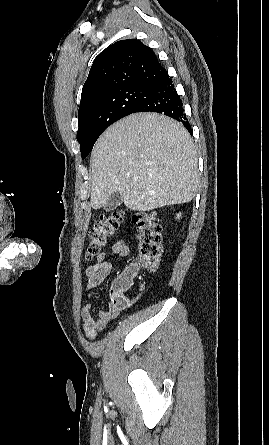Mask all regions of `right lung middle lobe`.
Returning a JSON list of instances; mask_svg holds the SVG:
<instances>
[{
  "label": "right lung middle lobe",
  "instance_id": "1",
  "mask_svg": "<svg viewBox=\"0 0 269 445\" xmlns=\"http://www.w3.org/2000/svg\"><path fill=\"white\" fill-rule=\"evenodd\" d=\"M153 93L150 85H132L111 90L79 108L78 140L82 159L92 150L100 134L117 120L134 113Z\"/></svg>",
  "mask_w": 269,
  "mask_h": 445
}]
</instances>
